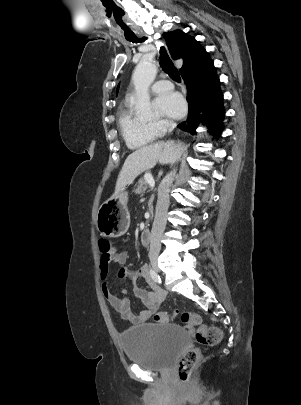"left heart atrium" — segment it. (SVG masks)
Masks as SVG:
<instances>
[{"label":"left heart atrium","mask_w":301,"mask_h":405,"mask_svg":"<svg viewBox=\"0 0 301 405\" xmlns=\"http://www.w3.org/2000/svg\"><path fill=\"white\" fill-rule=\"evenodd\" d=\"M154 105L162 115L172 119L181 118L186 111V104L183 97L176 92H168L159 95L155 99Z\"/></svg>","instance_id":"1"}]
</instances>
